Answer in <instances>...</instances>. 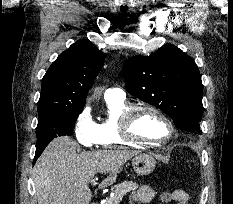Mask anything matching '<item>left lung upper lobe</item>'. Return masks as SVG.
<instances>
[{
  "instance_id": "obj_1",
  "label": "left lung upper lobe",
  "mask_w": 233,
  "mask_h": 204,
  "mask_svg": "<svg viewBox=\"0 0 233 204\" xmlns=\"http://www.w3.org/2000/svg\"><path fill=\"white\" fill-rule=\"evenodd\" d=\"M122 72L131 95L160 108L177 129L201 134L202 81L191 57L166 44L153 55L129 58Z\"/></svg>"
}]
</instances>
